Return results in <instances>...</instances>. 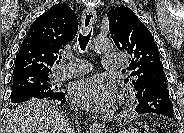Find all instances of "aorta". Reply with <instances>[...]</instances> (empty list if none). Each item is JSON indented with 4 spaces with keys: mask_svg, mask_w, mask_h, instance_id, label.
I'll use <instances>...</instances> for the list:
<instances>
[{
    "mask_svg": "<svg viewBox=\"0 0 184 133\" xmlns=\"http://www.w3.org/2000/svg\"><path fill=\"white\" fill-rule=\"evenodd\" d=\"M91 48L96 52H107L113 48V44L107 38L94 37L91 41Z\"/></svg>",
    "mask_w": 184,
    "mask_h": 133,
    "instance_id": "762f6f07",
    "label": "aorta"
}]
</instances>
